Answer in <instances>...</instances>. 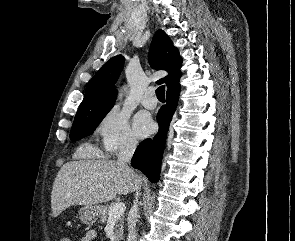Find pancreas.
Instances as JSON below:
<instances>
[{
    "instance_id": "pancreas-1",
    "label": "pancreas",
    "mask_w": 295,
    "mask_h": 241,
    "mask_svg": "<svg viewBox=\"0 0 295 241\" xmlns=\"http://www.w3.org/2000/svg\"><path fill=\"white\" fill-rule=\"evenodd\" d=\"M115 204L107 205L103 208L101 215H100V221L102 223H105L108 221L109 217V211L110 208L113 207ZM123 223H124V217L121 216L115 220V241H120L123 236Z\"/></svg>"
}]
</instances>
